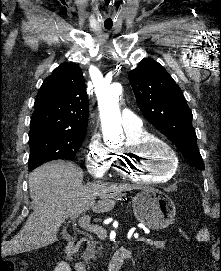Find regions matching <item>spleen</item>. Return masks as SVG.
Instances as JSON below:
<instances>
[{
  "label": "spleen",
  "instance_id": "3e777b00",
  "mask_svg": "<svg viewBox=\"0 0 221 271\" xmlns=\"http://www.w3.org/2000/svg\"><path fill=\"white\" fill-rule=\"evenodd\" d=\"M207 237H208V231H200V233H198V241H205Z\"/></svg>",
  "mask_w": 221,
  "mask_h": 271
}]
</instances>
